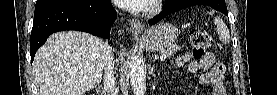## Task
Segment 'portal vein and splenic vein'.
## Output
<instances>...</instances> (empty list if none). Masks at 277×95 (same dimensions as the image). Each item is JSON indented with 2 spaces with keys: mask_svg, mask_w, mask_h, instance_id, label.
Here are the masks:
<instances>
[{
  "mask_svg": "<svg viewBox=\"0 0 277 95\" xmlns=\"http://www.w3.org/2000/svg\"><path fill=\"white\" fill-rule=\"evenodd\" d=\"M166 59V55L165 54H162L161 56H160V60L161 61H164Z\"/></svg>",
  "mask_w": 277,
  "mask_h": 95,
  "instance_id": "1",
  "label": "portal vein and splenic vein"
}]
</instances>
